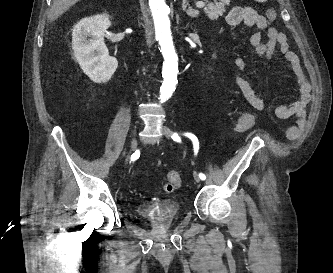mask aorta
Segmentation results:
<instances>
[{"label":"aorta","instance_id":"aorta-1","mask_svg":"<svg viewBox=\"0 0 333 273\" xmlns=\"http://www.w3.org/2000/svg\"><path fill=\"white\" fill-rule=\"evenodd\" d=\"M149 6L154 21L156 39L164 57L162 71L164 81L160 88V99L166 101L175 89L178 73V57L173 45L168 17L170 10L165 0H149Z\"/></svg>","mask_w":333,"mask_h":273}]
</instances>
